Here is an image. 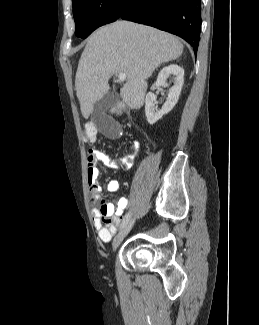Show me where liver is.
I'll return each mask as SVG.
<instances>
[{"mask_svg":"<svg viewBox=\"0 0 259 325\" xmlns=\"http://www.w3.org/2000/svg\"><path fill=\"white\" fill-rule=\"evenodd\" d=\"M182 53L183 44L176 37L153 27L122 20L100 27L88 38L76 72L83 117L90 116L94 103L108 92L111 76L119 73L126 74V83L120 90L122 100L110 112L121 115L126 106L139 109L146 80L159 65Z\"/></svg>","mask_w":259,"mask_h":325,"instance_id":"1","label":"liver"}]
</instances>
